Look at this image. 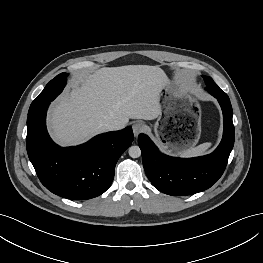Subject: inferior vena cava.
Listing matches in <instances>:
<instances>
[{"mask_svg": "<svg viewBox=\"0 0 263 263\" xmlns=\"http://www.w3.org/2000/svg\"><path fill=\"white\" fill-rule=\"evenodd\" d=\"M104 126H105L106 130H109V131L119 130V129H122L124 127L123 124H121L120 122H118L116 120L107 121L104 124Z\"/></svg>", "mask_w": 263, "mask_h": 263, "instance_id": "602c4592", "label": "inferior vena cava"}]
</instances>
